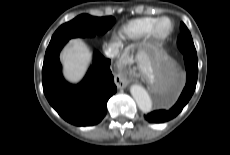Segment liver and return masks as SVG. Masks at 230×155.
I'll return each mask as SVG.
<instances>
[{
  "instance_id": "6515ba94",
  "label": "liver",
  "mask_w": 230,
  "mask_h": 155,
  "mask_svg": "<svg viewBox=\"0 0 230 155\" xmlns=\"http://www.w3.org/2000/svg\"><path fill=\"white\" fill-rule=\"evenodd\" d=\"M120 45L121 42L117 41L109 44V47ZM60 59L64 77L71 83H77L84 77L92 62V52L82 39H72L62 51Z\"/></svg>"
}]
</instances>
